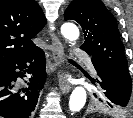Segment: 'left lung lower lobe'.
Segmentation results:
<instances>
[{
    "label": "left lung lower lobe",
    "instance_id": "left-lung-lower-lobe-1",
    "mask_svg": "<svg viewBox=\"0 0 133 118\" xmlns=\"http://www.w3.org/2000/svg\"><path fill=\"white\" fill-rule=\"evenodd\" d=\"M92 63L99 76L94 82L104 90L105 102L111 107L114 105L127 107L130 104L131 83L111 70L105 63L94 58Z\"/></svg>",
    "mask_w": 133,
    "mask_h": 118
}]
</instances>
